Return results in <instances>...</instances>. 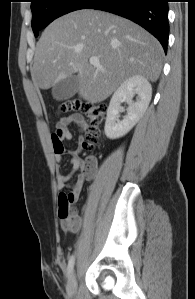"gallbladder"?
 Returning <instances> with one entry per match:
<instances>
[{
  "label": "gallbladder",
  "mask_w": 195,
  "mask_h": 299,
  "mask_svg": "<svg viewBox=\"0 0 195 299\" xmlns=\"http://www.w3.org/2000/svg\"><path fill=\"white\" fill-rule=\"evenodd\" d=\"M79 88V79L73 74L66 79L56 83L52 88L53 98L58 101H63L74 96Z\"/></svg>",
  "instance_id": "gallbladder-1"
}]
</instances>
